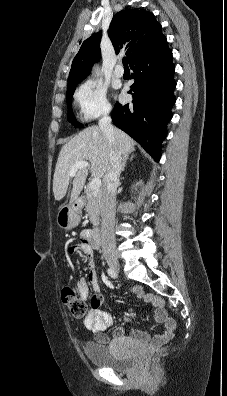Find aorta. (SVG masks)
I'll list each match as a JSON object with an SVG mask.
<instances>
[{
	"label": "aorta",
	"instance_id": "obj_1",
	"mask_svg": "<svg viewBox=\"0 0 227 396\" xmlns=\"http://www.w3.org/2000/svg\"><path fill=\"white\" fill-rule=\"evenodd\" d=\"M93 74L98 75L99 74L98 70L94 69V73Z\"/></svg>",
	"mask_w": 227,
	"mask_h": 396
}]
</instances>
